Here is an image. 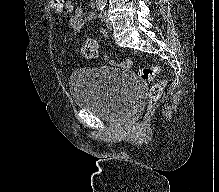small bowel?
I'll use <instances>...</instances> for the list:
<instances>
[{
  "mask_svg": "<svg viewBox=\"0 0 219 192\" xmlns=\"http://www.w3.org/2000/svg\"><path fill=\"white\" fill-rule=\"evenodd\" d=\"M49 6L57 13H61L64 9H66L68 12H71L72 16L69 20V25L76 33L81 32L85 24L96 17L94 12H91L85 16L81 7L74 6L73 0H51ZM101 34L104 37L107 35L105 31H102Z\"/></svg>",
  "mask_w": 219,
  "mask_h": 192,
  "instance_id": "small-bowel-1",
  "label": "small bowel"
}]
</instances>
